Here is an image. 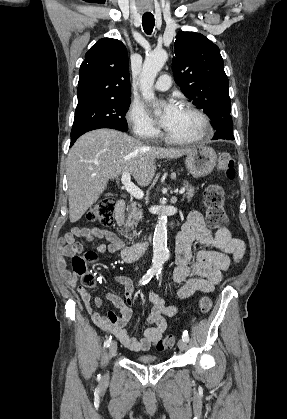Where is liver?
<instances>
[{"instance_id": "6515ba94", "label": "liver", "mask_w": 287, "mask_h": 419, "mask_svg": "<svg viewBox=\"0 0 287 419\" xmlns=\"http://www.w3.org/2000/svg\"><path fill=\"white\" fill-rule=\"evenodd\" d=\"M191 150L150 147L113 129L82 135L67 157L70 222L78 221L97 202L109 180L129 172L139 186H148L157 158H180Z\"/></svg>"}]
</instances>
